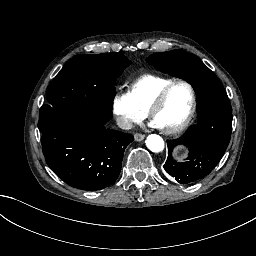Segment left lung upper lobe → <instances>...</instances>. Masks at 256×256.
I'll use <instances>...</instances> for the list:
<instances>
[{
	"label": "left lung upper lobe",
	"instance_id": "5c2ea615",
	"mask_svg": "<svg viewBox=\"0 0 256 256\" xmlns=\"http://www.w3.org/2000/svg\"><path fill=\"white\" fill-rule=\"evenodd\" d=\"M161 72L189 82L196 91L199 123L186 134L168 140L166 172L178 175L207 176L218 164L231 137L232 111L228 96L215 74L193 54L183 50L150 55L147 59ZM189 147L188 161L177 163L172 159L178 144Z\"/></svg>",
	"mask_w": 256,
	"mask_h": 256
}]
</instances>
